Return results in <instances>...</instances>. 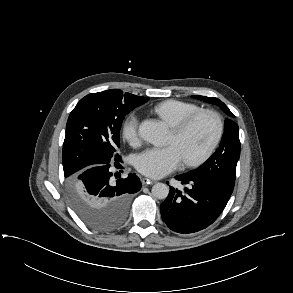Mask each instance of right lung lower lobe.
Segmentation results:
<instances>
[{"instance_id":"98d812e1","label":"right lung lower lobe","mask_w":293,"mask_h":293,"mask_svg":"<svg viewBox=\"0 0 293 293\" xmlns=\"http://www.w3.org/2000/svg\"><path fill=\"white\" fill-rule=\"evenodd\" d=\"M110 167L111 164L108 163L92 165L84 169L79 175L82 192L91 211L118 214L125 220L131 194L140 190L141 182L135 174L115 180L114 176L117 178L118 172L113 174ZM115 167L123 169L119 161L115 162Z\"/></svg>"}]
</instances>
